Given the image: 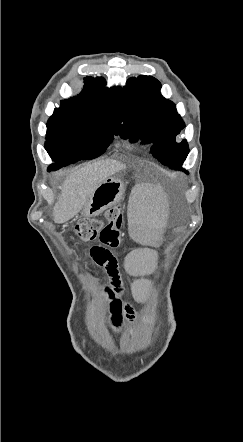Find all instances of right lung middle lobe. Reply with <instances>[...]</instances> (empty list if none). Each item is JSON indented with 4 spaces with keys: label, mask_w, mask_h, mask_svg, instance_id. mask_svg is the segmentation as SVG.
<instances>
[{
    "label": "right lung middle lobe",
    "mask_w": 243,
    "mask_h": 442,
    "mask_svg": "<svg viewBox=\"0 0 243 442\" xmlns=\"http://www.w3.org/2000/svg\"><path fill=\"white\" fill-rule=\"evenodd\" d=\"M119 128L113 123L56 108L47 123L45 149L57 168L93 159L104 153Z\"/></svg>",
    "instance_id": "right-lung-middle-lobe-1"
}]
</instances>
